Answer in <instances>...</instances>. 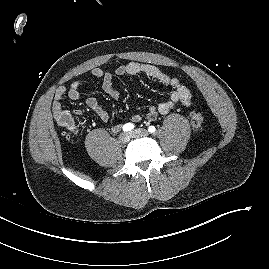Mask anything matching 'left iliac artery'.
<instances>
[{"mask_svg": "<svg viewBox=\"0 0 269 269\" xmlns=\"http://www.w3.org/2000/svg\"><path fill=\"white\" fill-rule=\"evenodd\" d=\"M148 131H149L150 133H154V132L156 131V128H155L154 126H150V127L148 128Z\"/></svg>", "mask_w": 269, "mask_h": 269, "instance_id": "obj_1", "label": "left iliac artery"}]
</instances>
